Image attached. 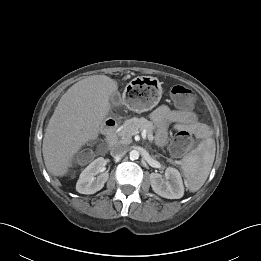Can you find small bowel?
<instances>
[{"mask_svg":"<svg viewBox=\"0 0 261 261\" xmlns=\"http://www.w3.org/2000/svg\"><path fill=\"white\" fill-rule=\"evenodd\" d=\"M151 120L157 127L156 142L165 145L168 139V128L174 124L177 131H189L198 138H207L210 128L198 121L196 114L187 110H176L166 105L159 106L151 114Z\"/></svg>","mask_w":261,"mask_h":261,"instance_id":"c3829d8e","label":"small bowel"}]
</instances>
